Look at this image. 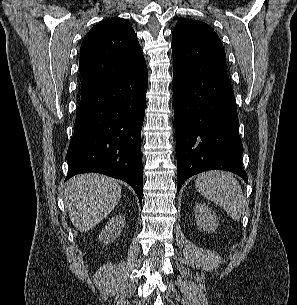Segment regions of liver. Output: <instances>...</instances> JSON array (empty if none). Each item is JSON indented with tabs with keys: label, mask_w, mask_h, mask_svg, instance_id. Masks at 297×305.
Wrapping results in <instances>:
<instances>
[{
	"label": "liver",
	"mask_w": 297,
	"mask_h": 305,
	"mask_svg": "<svg viewBox=\"0 0 297 305\" xmlns=\"http://www.w3.org/2000/svg\"><path fill=\"white\" fill-rule=\"evenodd\" d=\"M122 190L110 177L87 173L72 177L64 192L65 206L73 225L87 232L117 206Z\"/></svg>",
	"instance_id": "liver-1"
}]
</instances>
